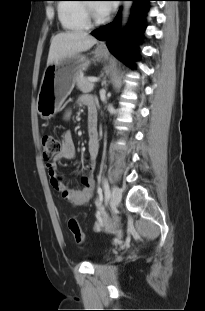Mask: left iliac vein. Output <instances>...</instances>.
<instances>
[{
	"mask_svg": "<svg viewBox=\"0 0 205 311\" xmlns=\"http://www.w3.org/2000/svg\"><path fill=\"white\" fill-rule=\"evenodd\" d=\"M122 199V191L118 187H113L112 193H111V209L113 212L117 211V208L121 202Z\"/></svg>",
	"mask_w": 205,
	"mask_h": 311,
	"instance_id": "left-iliac-vein-1",
	"label": "left iliac vein"
}]
</instances>
